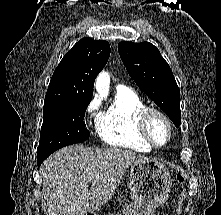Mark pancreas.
<instances>
[{
	"instance_id": "pancreas-1",
	"label": "pancreas",
	"mask_w": 221,
	"mask_h": 215,
	"mask_svg": "<svg viewBox=\"0 0 221 215\" xmlns=\"http://www.w3.org/2000/svg\"><path fill=\"white\" fill-rule=\"evenodd\" d=\"M125 200H126V198H124V199L122 200V195L119 196V201H120V202L125 201Z\"/></svg>"
}]
</instances>
